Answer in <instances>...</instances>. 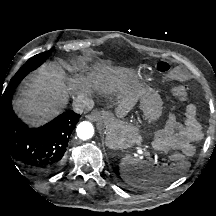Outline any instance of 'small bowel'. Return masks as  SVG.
<instances>
[{
	"label": "small bowel",
	"instance_id": "obj_1",
	"mask_svg": "<svg viewBox=\"0 0 216 216\" xmlns=\"http://www.w3.org/2000/svg\"><path fill=\"white\" fill-rule=\"evenodd\" d=\"M196 107L188 104L184 109V121L180 122L170 114L162 130L163 146L179 150L186 156L195 152L194 142L201 140L203 134L199 121L196 118Z\"/></svg>",
	"mask_w": 216,
	"mask_h": 216
}]
</instances>
